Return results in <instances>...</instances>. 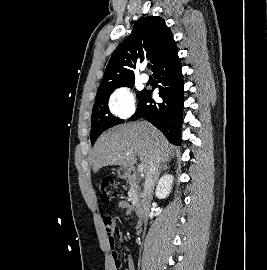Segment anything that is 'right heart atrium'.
I'll return each mask as SVG.
<instances>
[{"instance_id": "obj_1", "label": "right heart atrium", "mask_w": 267, "mask_h": 270, "mask_svg": "<svg viewBox=\"0 0 267 270\" xmlns=\"http://www.w3.org/2000/svg\"><path fill=\"white\" fill-rule=\"evenodd\" d=\"M108 108L111 115L118 119H125L135 111V99L127 86L115 88L108 97Z\"/></svg>"}]
</instances>
